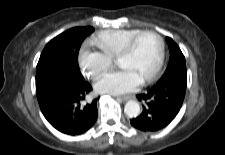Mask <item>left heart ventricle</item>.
Masks as SVG:
<instances>
[{"label":"left heart ventricle","instance_id":"left-heart-ventricle-1","mask_svg":"<svg viewBox=\"0 0 225 155\" xmlns=\"http://www.w3.org/2000/svg\"><path fill=\"white\" fill-rule=\"evenodd\" d=\"M158 57V39L153 35H144L136 42L132 52L117 64L129 69L143 81L155 68Z\"/></svg>","mask_w":225,"mask_h":155}]
</instances>
